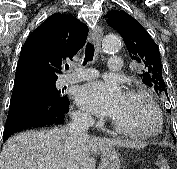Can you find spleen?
Wrapping results in <instances>:
<instances>
[{"label": "spleen", "mask_w": 177, "mask_h": 169, "mask_svg": "<svg viewBox=\"0 0 177 169\" xmlns=\"http://www.w3.org/2000/svg\"><path fill=\"white\" fill-rule=\"evenodd\" d=\"M161 165L160 169H170L168 164L161 159V162L159 163Z\"/></svg>", "instance_id": "1"}]
</instances>
